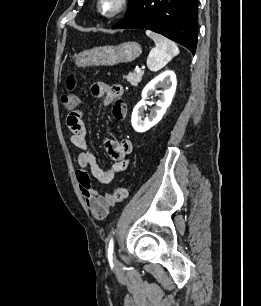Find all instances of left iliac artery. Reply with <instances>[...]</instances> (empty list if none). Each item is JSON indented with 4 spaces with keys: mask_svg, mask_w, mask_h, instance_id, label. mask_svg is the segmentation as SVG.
<instances>
[{
    "mask_svg": "<svg viewBox=\"0 0 261 306\" xmlns=\"http://www.w3.org/2000/svg\"><path fill=\"white\" fill-rule=\"evenodd\" d=\"M113 253H114V241L113 238L109 241V247H108V259L112 261L113 259Z\"/></svg>",
    "mask_w": 261,
    "mask_h": 306,
    "instance_id": "left-iliac-artery-1",
    "label": "left iliac artery"
}]
</instances>
